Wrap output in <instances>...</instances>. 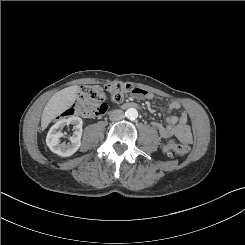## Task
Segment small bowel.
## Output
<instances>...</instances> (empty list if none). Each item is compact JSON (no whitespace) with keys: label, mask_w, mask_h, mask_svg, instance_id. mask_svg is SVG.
Segmentation results:
<instances>
[{"label":"small bowel","mask_w":245,"mask_h":245,"mask_svg":"<svg viewBox=\"0 0 245 245\" xmlns=\"http://www.w3.org/2000/svg\"><path fill=\"white\" fill-rule=\"evenodd\" d=\"M141 92L134 94L135 98L145 100L151 99L153 95L145 90L140 89ZM181 108L179 102H172L168 106L167 123L161 124L159 122H153L152 125L157 129L158 133L163 138L177 137L181 141L188 142L192 138L191 130L188 125V115L185 111H182L179 115H172L174 110Z\"/></svg>","instance_id":"small-bowel-1"}]
</instances>
